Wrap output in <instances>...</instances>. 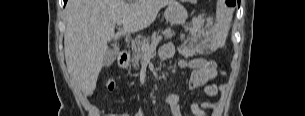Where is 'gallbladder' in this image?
<instances>
[{"label":"gallbladder","instance_id":"gallbladder-1","mask_svg":"<svg viewBox=\"0 0 305 116\" xmlns=\"http://www.w3.org/2000/svg\"><path fill=\"white\" fill-rule=\"evenodd\" d=\"M116 57H117V50L109 49L104 56V65L107 67L110 66L115 61Z\"/></svg>","mask_w":305,"mask_h":116}]
</instances>
